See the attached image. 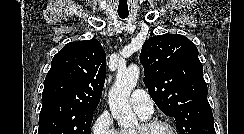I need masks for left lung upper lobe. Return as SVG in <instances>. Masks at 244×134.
I'll list each match as a JSON object with an SVG mask.
<instances>
[{"mask_svg": "<svg viewBox=\"0 0 244 134\" xmlns=\"http://www.w3.org/2000/svg\"><path fill=\"white\" fill-rule=\"evenodd\" d=\"M140 62L150 96L175 119L180 134H216L203 66L192 41L177 34L153 36L143 44Z\"/></svg>", "mask_w": 244, "mask_h": 134, "instance_id": "5c2ea615", "label": "left lung upper lobe"}]
</instances>
